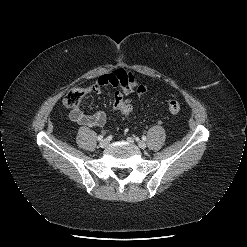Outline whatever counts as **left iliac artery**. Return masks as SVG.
Listing matches in <instances>:
<instances>
[{"label": "left iliac artery", "instance_id": "obj_1", "mask_svg": "<svg viewBox=\"0 0 247 247\" xmlns=\"http://www.w3.org/2000/svg\"><path fill=\"white\" fill-rule=\"evenodd\" d=\"M142 139H143L144 141H146L147 138H146V136H142Z\"/></svg>", "mask_w": 247, "mask_h": 247}]
</instances>
